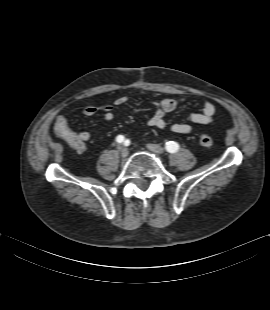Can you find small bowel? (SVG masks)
Segmentation results:
<instances>
[{
	"instance_id": "obj_1",
	"label": "small bowel",
	"mask_w": 270,
	"mask_h": 310,
	"mask_svg": "<svg viewBox=\"0 0 270 310\" xmlns=\"http://www.w3.org/2000/svg\"><path fill=\"white\" fill-rule=\"evenodd\" d=\"M126 96H119L114 101H104L97 104H88L82 109V114L85 116H91L98 112L103 113V121L105 123L111 122L114 118L113 109L115 106L123 105L127 102ZM183 101V99L175 98H164L160 101H154L153 105L155 107L154 115L148 120L147 124L151 127L157 129H164L167 126L165 121V115L169 112L174 111L178 105ZM215 106L210 101H205L199 112H195L189 115L188 122L208 125L214 121ZM64 122H67L65 117L59 118ZM188 122H177L171 125L170 129L176 134L186 135L192 132V126ZM75 132V131H74ZM82 143V147L78 150L84 149L86 142L90 139V134L87 131L75 132Z\"/></svg>"
}]
</instances>
